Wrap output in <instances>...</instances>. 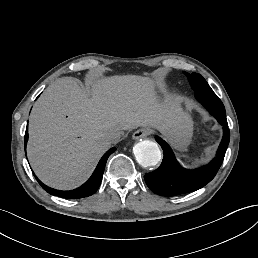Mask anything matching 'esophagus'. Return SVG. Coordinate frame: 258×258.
<instances>
[{
    "label": "esophagus",
    "mask_w": 258,
    "mask_h": 258,
    "mask_svg": "<svg viewBox=\"0 0 258 258\" xmlns=\"http://www.w3.org/2000/svg\"><path fill=\"white\" fill-rule=\"evenodd\" d=\"M151 129L149 128H141L136 130L133 135H132V139L133 140H139V139H143L146 136H148L149 134H151Z\"/></svg>",
    "instance_id": "esophagus-1"
}]
</instances>
